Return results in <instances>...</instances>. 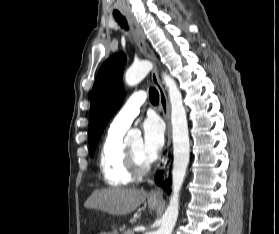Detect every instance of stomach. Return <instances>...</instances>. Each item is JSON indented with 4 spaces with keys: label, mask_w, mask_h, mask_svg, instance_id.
I'll use <instances>...</instances> for the list:
<instances>
[{
    "label": "stomach",
    "mask_w": 279,
    "mask_h": 234,
    "mask_svg": "<svg viewBox=\"0 0 279 234\" xmlns=\"http://www.w3.org/2000/svg\"><path fill=\"white\" fill-rule=\"evenodd\" d=\"M148 206L150 209H156L159 206V202H153L148 200Z\"/></svg>",
    "instance_id": "1"
}]
</instances>
